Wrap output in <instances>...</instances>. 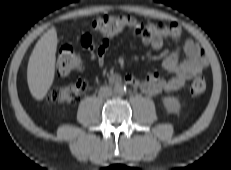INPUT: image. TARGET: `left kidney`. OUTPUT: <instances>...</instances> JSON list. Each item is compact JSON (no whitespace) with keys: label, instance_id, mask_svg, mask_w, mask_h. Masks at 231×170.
<instances>
[{"label":"left kidney","instance_id":"left-kidney-1","mask_svg":"<svg viewBox=\"0 0 231 170\" xmlns=\"http://www.w3.org/2000/svg\"><path fill=\"white\" fill-rule=\"evenodd\" d=\"M163 105L170 113H177L180 108V103L175 97H165L163 99Z\"/></svg>","mask_w":231,"mask_h":170}]
</instances>
